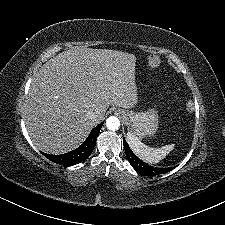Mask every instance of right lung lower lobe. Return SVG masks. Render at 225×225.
<instances>
[{
	"instance_id": "98d812e1",
	"label": "right lung lower lobe",
	"mask_w": 225,
	"mask_h": 225,
	"mask_svg": "<svg viewBox=\"0 0 225 225\" xmlns=\"http://www.w3.org/2000/svg\"><path fill=\"white\" fill-rule=\"evenodd\" d=\"M102 122L101 124L97 125L89 134L87 139L83 142L81 146H79L77 149L61 154V155H49L42 153L45 157L50 159L51 161L61 164L64 166H72L76 165L85 159H87L92 151L94 150V147L96 145L97 136L99 135V131L101 127L103 126Z\"/></svg>"
}]
</instances>
